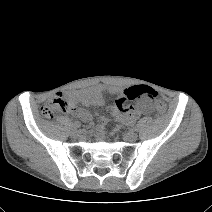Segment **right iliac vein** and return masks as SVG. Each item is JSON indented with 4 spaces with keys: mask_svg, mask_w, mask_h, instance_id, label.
I'll list each match as a JSON object with an SVG mask.
<instances>
[{
    "mask_svg": "<svg viewBox=\"0 0 212 212\" xmlns=\"http://www.w3.org/2000/svg\"><path fill=\"white\" fill-rule=\"evenodd\" d=\"M79 134H80V132H79L78 130H73V131H72V135H73L74 137L79 136Z\"/></svg>",
    "mask_w": 212,
    "mask_h": 212,
    "instance_id": "63e3f726",
    "label": "right iliac vein"
}]
</instances>
